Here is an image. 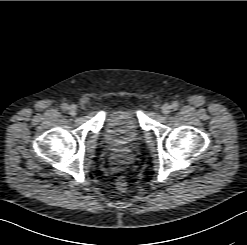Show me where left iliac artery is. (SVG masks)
Returning a JSON list of instances; mask_svg holds the SVG:
<instances>
[{"mask_svg":"<svg viewBox=\"0 0 247 245\" xmlns=\"http://www.w3.org/2000/svg\"><path fill=\"white\" fill-rule=\"evenodd\" d=\"M179 108V103L177 101L172 103V109L177 110Z\"/></svg>","mask_w":247,"mask_h":245,"instance_id":"44dca946","label":"left iliac artery"}]
</instances>
